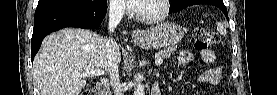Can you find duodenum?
Segmentation results:
<instances>
[{"label": "duodenum", "instance_id": "410a0bca", "mask_svg": "<svg viewBox=\"0 0 277 95\" xmlns=\"http://www.w3.org/2000/svg\"><path fill=\"white\" fill-rule=\"evenodd\" d=\"M109 86L107 83H101L97 86V94L100 95H109ZM152 95H160V85L156 81L151 86V93Z\"/></svg>", "mask_w": 277, "mask_h": 95}]
</instances>
